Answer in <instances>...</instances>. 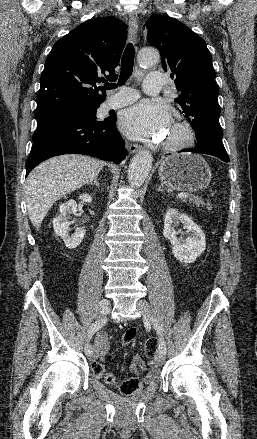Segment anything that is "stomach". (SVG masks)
I'll list each match as a JSON object with an SVG mask.
<instances>
[{"mask_svg": "<svg viewBox=\"0 0 257 439\" xmlns=\"http://www.w3.org/2000/svg\"><path fill=\"white\" fill-rule=\"evenodd\" d=\"M159 177L169 188L182 192H196L208 187L212 174L200 155L181 153L161 161Z\"/></svg>", "mask_w": 257, "mask_h": 439, "instance_id": "stomach-1", "label": "stomach"}]
</instances>
